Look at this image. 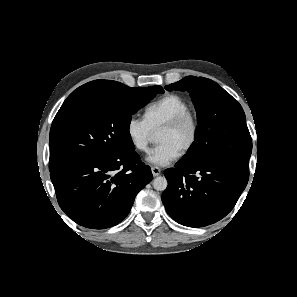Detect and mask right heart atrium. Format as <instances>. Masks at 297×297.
Returning <instances> with one entry per match:
<instances>
[{
  "label": "right heart atrium",
  "mask_w": 297,
  "mask_h": 297,
  "mask_svg": "<svg viewBox=\"0 0 297 297\" xmlns=\"http://www.w3.org/2000/svg\"><path fill=\"white\" fill-rule=\"evenodd\" d=\"M127 136L133 147L140 152H146L151 141L153 131L144 117L132 115L126 124Z\"/></svg>",
  "instance_id": "obj_1"
}]
</instances>
